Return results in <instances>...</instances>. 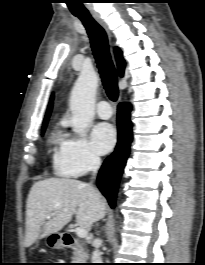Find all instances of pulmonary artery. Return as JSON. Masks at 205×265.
Listing matches in <instances>:
<instances>
[{"instance_id": "e3ab8cb5", "label": "pulmonary artery", "mask_w": 205, "mask_h": 265, "mask_svg": "<svg viewBox=\"0 0 205 265\" xmlns=\"http://www.w3.org/2000/svg\"><path fill=\"white\" fill-rule=\"evenodd\" d=\"M96 112L102 119H108L112 116V109L107 101H100L96 106Z\"/></svg>"}]
</instances>
